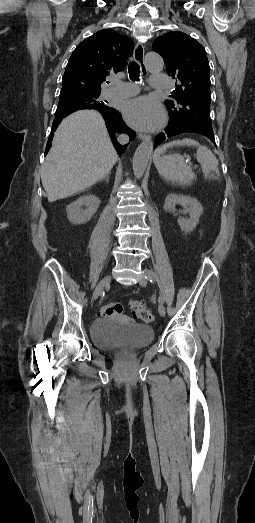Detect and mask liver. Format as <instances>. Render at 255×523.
I'll use <instances>...</instances> for the list:
<instances>
[{
	"mask_svg": "<svg viewBox=\"0 0 255 523\" xmlns=\"http://www.w3.org/2000/svg\"><path fill=\"white\" fill-rule=\"evenodd\" d=\"M118 160L105 122L95 110H80L64 118L41 168L48 202L62 200L93 186Z\"/></svg>",
	"mask_w": 255,
	"mask_h": 523,
	"instance_id": "6515ba94",
	"label": "liver"
}]
</instances>
